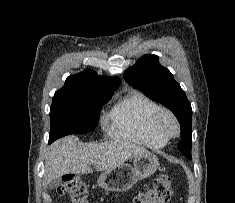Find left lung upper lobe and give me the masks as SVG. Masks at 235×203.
I'll return each instance as SVG.
<instances>
[{
	"instance_id": "5c2ea615",
	"label": "left lung upper lobe",
	"mask_w": 235,
	"mask_h": 203,
	"mask_svg": "<svg viewBox=\"0 0 235 203\" xmlns=\"http://www.w3.org/2000/svg\"><path fill=\"white\" fill-rule=\"evenodd\" d=\"M124 79L139 88L147 97L169 108L181 125L182 140L178 149L191 159L192 108L185 92L170 71L161 66L158 56H142L124 72Z\"/></svg>"
}]
</instances>
